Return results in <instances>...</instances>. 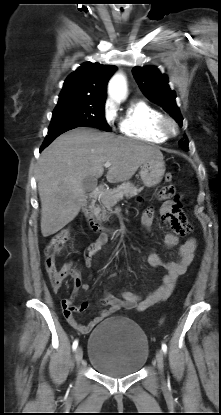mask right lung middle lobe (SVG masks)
<instances>
[{
    "mask_svg": "<svg viewBox=\"0 0 221 415\" xmlns=\"http://www.w3.org/2000/svg\"><path fill=\"white\" fill-rule=\"evenodd\" d=\"M105 100L90 97L59 96L49 130L95 127L111 131L104 117Z\"/></svg>",
    "mask_w": 221,
    "mask_h": 415,
    "instance_id": "dd1d6c3e",
    "label": "right lung middle lobe"
}]
</instances>
